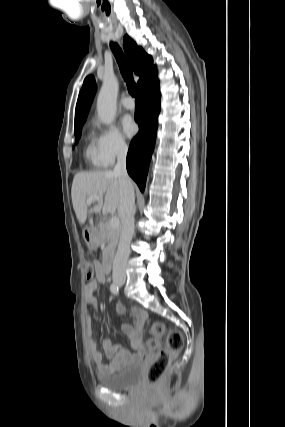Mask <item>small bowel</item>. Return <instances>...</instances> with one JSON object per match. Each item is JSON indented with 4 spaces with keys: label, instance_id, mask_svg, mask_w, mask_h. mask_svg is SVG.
I'll use <instances>...</instances> for the list:
<instances>
[{
    "label": "small bowel",
    "instance_id": "small-bowel-1",
    "mask_svg": "<svg viewBox=\"0 0 285 427\" xmlns=\"http://www.w3.org/2000/svg\"><path fill=\"white\" fill-rule=\"evenodd\" d=\"M95 278L89 281L84 287V297L86 303L95 311H98L99 301L95 297L99 284L104 283L106 280L107 268L101 262H95ZM115 310L118 314L125 313V307L121 303H115ZM131 314L134 317L133 324L125 323L122 325V333L130 340L133 352L124 349L119 343L111 338H106L103 341V348L107 357L110 359L108 364L103 363L102 353L100 352L97 343L92 335L91 318L89 315L86 317L87 334L89 340V351L93 362L97 365L98 369L103 372H110L117 370L127 364L140 360L144 354L142 345V327L147 319V312L139 307H133Z\"/></svg>",
    "mask_w": 285,
    "mask_h": 427
}]
</instances>
